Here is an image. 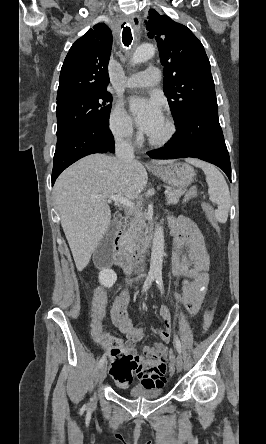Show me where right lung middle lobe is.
Segmentation results:
<instances>
[{
  "instance_id": "right-lung-middle-lobe-1",
  "label": "right lung middle lobe",
  "mask_w": 266,
  "mask_h": 444,
  "mask_svg": "<svg viewBox=\"0 0 266 444\" xmlns=\"http://www.w3.org/2000/svg\"><path fill=\"white\" fill-rule=\"evenodd\" d=\"M112 96L106 89L74 93L57 99V145L74 135L109 126Z\"/></svg>"
}]
</instances>
